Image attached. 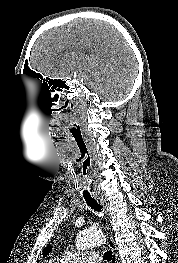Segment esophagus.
Here are the masks:
<instances>
[{
  "label": "esophagus",
  "mask_w": 178,
  "mask_h": 263,
  "mask_svg": "<svg viewBox=\"0 0 178 263\" xmlns=\"http://www.w3.org/2000/svg\"><path fill=\"white\" fill-rule=\"evenodd\" d=\"M99 203L101 206L104 208L105 215H106V223L108 226H111V215L109 213L108 205L103 197L98 198ZM109 249L113 252V258H112V263H117V253H116V245L113 239V236L111 235L109 243H108Z\"/></svg>",
  "instance_id": "1"
}]
</instances>
